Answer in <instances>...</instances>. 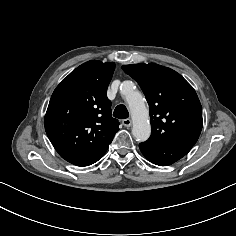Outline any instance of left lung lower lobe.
Here are the masks:
<instances>
[{
    "label": "left lung lower lobe",
    "instance_id": "left-lung-lower-lobe-1",
    "mask_svg": "<svg viewBox=\"0 0 236 236\" xmlns=\"http://www.w3.org/2000/svg\"><path fill=\"white\" fill-rule=\"evenodd\" d=\"M139 148L153 164L168 166L185 156L192 146L151 145L144 142L139 144Z\"/></svg>",
    "mask_w": 236,
    "mask_h": 236
}]
</instances>
